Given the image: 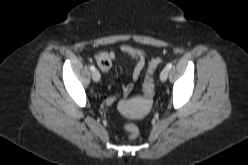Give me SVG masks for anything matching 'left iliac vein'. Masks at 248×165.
<instances>
[{"mask_svg": "<svg viewBox=\"0 0 248 165\" xmlns=\"http://www.w3.org/2000/svg\"><path fill=\"white\" fill-rule=\"evenodd\" d=\"M168 77V69L164 68L161 72H160V80L162 82L166 81Z\"/></svg>", "mask_w": 248, "mask_h": 165, "instance_id": "4c4485c4", "label": "left iliac vein"}]
</instances>
